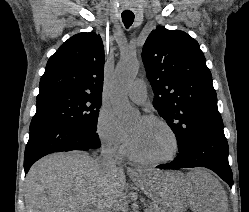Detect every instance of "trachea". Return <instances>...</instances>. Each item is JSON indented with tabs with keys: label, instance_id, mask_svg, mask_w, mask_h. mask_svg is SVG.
I'll use <instances>...</instances> for the list:
<instances>
[{
	"label": "trachea",
	"instance_id": "1",
	"mask_svg": "<svg viewBox=\"0 0 249 212\" xmlns=\"http://www.w3.org/2000/svg\"><path fill=\"white\" fill-rule=\"evenodd\" d=\"M122 21L126 28H129L134 21V14L132 12H123Z\"/></svg>",
	"mask_w": 249,
	"mask_h": 212
}]
</instances>
